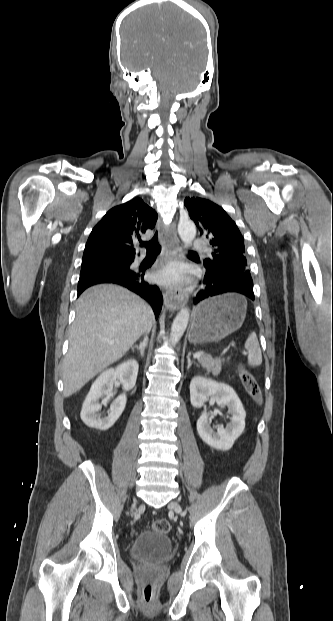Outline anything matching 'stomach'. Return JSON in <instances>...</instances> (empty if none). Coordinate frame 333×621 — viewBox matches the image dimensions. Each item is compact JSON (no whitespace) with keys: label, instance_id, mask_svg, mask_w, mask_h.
<instances>
[{"label":"stomach","instance_id":"0dacf381","mask_svg":"<svg viewBox=\"0 0 333 621\" xmlns=\"http://www.w3.org/2000/svg\"><path fill=\"white\" fill-rule=\"evenodd\" d=\"M246 303L237 294H225L200 303L193 315L191 343L219 342L238 330L245 319Z\"/></svg>","mask_w":333,"mask_h":621}]
</instances>
